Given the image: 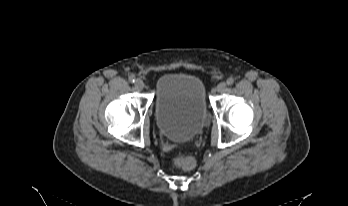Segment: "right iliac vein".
<instances>
[{
	"instance_id": "63e3f726",
	"label": "right iliac vein",
	"mask_w": 348,
	"mask_h": 206,
	"mask_svg": "<svg viewBox=\"0 0 348 206\" xmlns=\"http://www.w3.org/2000/svg\"><path fill=\"white\" fill-rule=\"evenodd\" d=\"M135 87L138 89V90H142L144 88V83L142 80L140 79H137L135 81Z\"/></svg>"
}]
</instances>
